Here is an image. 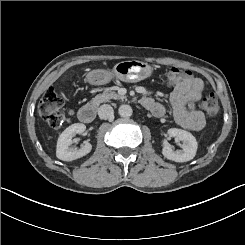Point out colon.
I'll use <instances>...</instances> for the list:
<instances>
[{"label": "colon", "instance_id": "5ec220e1", "mask_svg": "<svg viewBox=\"0 0 245 245\" xmlns=\"http://www.w3.org/2000/svg\"><path fill=\"white\" fill-rule=\"evenodd\" d=\"M165 75L170 85H176L187 79L190 76V72L177 67H170L166 70ZM65 98L66 93L63 90L51 87L39 101L38 113L42 120L52 128L61 127L65 121V116L60 111ZM202 108L208 115H216L219 111L217 97L213 94L205 97L202 101Z\"/></svg>", "mask_w": 245, "mask_h": 245}]
</instances>
